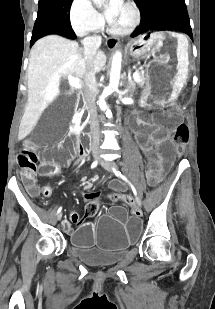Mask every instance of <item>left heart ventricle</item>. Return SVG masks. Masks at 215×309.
<instances>
[{"label": "left heart ventricle", "instance_id": "b2bd125f", "mask_svg": "<svg viewBox=\"0 0 215 309\" xmlns=\"http://www.w3.org/2000/svg\"><path fill=\"white\" fill-rule=\"evenodd\" d=\"M118 23H126V20H118Z\"/></svg>", "mask_w": 215, "mask_h": 309}]
</instances>
